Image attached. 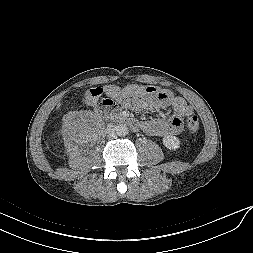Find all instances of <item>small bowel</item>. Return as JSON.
I'll list each match as a JSON object with an SVG mask.
<instances>
[{"label": "small bowel", "mask_w": 253, "mask_h": 253, "mask_svg": "<svg viewBox=\"0 0 253 253\" xmlns=\"http://www.w3.org/2000/svg\"><path fill=\"white\" fill-rule=\"evenodd\" d=\"M120 101L110 99L108 96L101 98V103L105 107L112 108L115 111H120L122 105L125 108L136 111L141 109L156 110L165 107L172 108L171 118H156L141 124V128L146 134L155 137L179 134L184 127V118L189 117L193 112L183 98L174 96L171 92L163 89H161L159 95H145Z\"/></svg>", "instance_id": "1"}]
</instances>
